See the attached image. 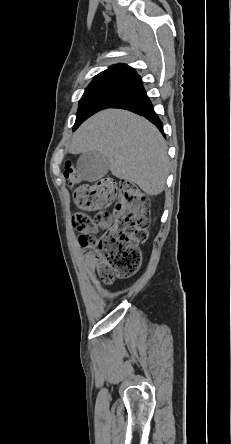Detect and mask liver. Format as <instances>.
Returning <instances> with one entry per match:
<instances>
[{"label":"liver","mask_w":231,"mask_h":444,"mask_svg":"<svg viewBox=\"0 0 231 444\" xmlns=\"http://www.w3.org/2000/svg\"><path fill=\"white\" fill-rule=\"evenodd\" d=\"M69 153L98 151L111 173L137 184L148 195H158L169 173L166 142L145 118L121 109H106L86 120L74 133Z\"/></svg>","instance_id":"1"}]
</instances>
